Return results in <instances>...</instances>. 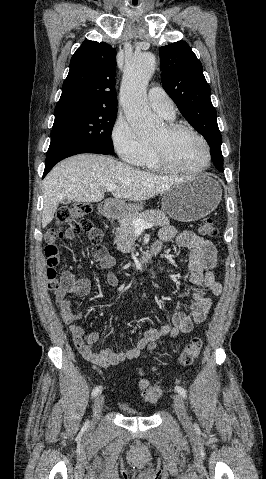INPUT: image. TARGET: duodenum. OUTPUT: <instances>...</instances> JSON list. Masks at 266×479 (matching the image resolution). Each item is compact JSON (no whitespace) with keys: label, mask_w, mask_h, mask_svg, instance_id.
<instances>
[{"label":"duodenum","mask_w":266,"mask_h":479,"mask_svg":"<svg viewBox=\"0 0 266 479\" xmlns=\"http://www.w3.org/2000/svg\"><path fill=\"white\" fill-rule=\"evenodd\" d=\"M115 207V202L108 201L101 205L100 210L104 216L111 218L115 214ZM159 249V245L155 243L149 249L145 250L138 260L139 265H132V270L136 273H139L141 269H143L150 262L152 257L159 251Z\"/></svg>","instance_id":"410a0bca"}]
</instances>
